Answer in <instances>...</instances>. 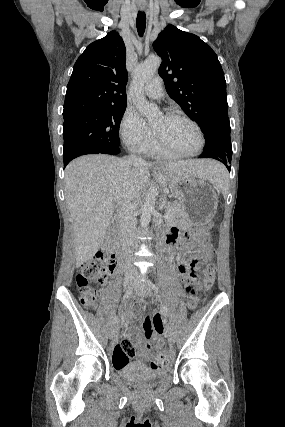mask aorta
<instances>
[{"mask_svg": "<svg viewBox=\"0 0 285 427\" xmlns=\"http://www.w3.org/2000/svg\"><path fill=\"white\" fill-rule=\"evenodd\" d=\"M161 59L157 55L149 56L143 63L138 64L134 69V77L132 82V91L135 96L136 108L146 118L152 119L159 114L157 105L149 103L144 95V84L150 81L158 68L160 67ZM156 187L151 186L148 190L145 202L141 210L140 224L142 228H146L155 211Z\"/></svg>", "mask_w": 285, "mask_h": 427, "instance_id": "obj_1", "label": "aorta"}]
</instances>
